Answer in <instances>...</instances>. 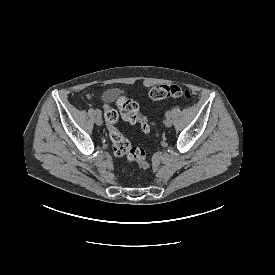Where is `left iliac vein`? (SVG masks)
I'll return each mask as SVG.
<instances>
[{"mask_svg":"<svg viewBox=\"0 0 275 275\" xmlns=\"http://www.w3.org/2000/svg\"><path fill=\"white\" fill-rule=\"evenodd\" d=\"M164 124L166 127H171L172 124H173V121L170 119V118H167L165 121H164Z\"/></svg>","mask_w":275,"mask_h":275,"instance_id":"obj_1","label":"left iliac vein"}]
</instances>
